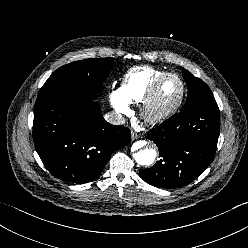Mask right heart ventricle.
Segmentation results:
<instances>
[{
    "label": "right heart ventricle",
    "mask_w": 248,
    "mask_h": 248,
    "mask_svg": "<svg viewBox=\"0 0 248 248\" xmlns=\"http://www.w3.org/2000/svg\"><path fill=\"white\" fill-rule=\"evenodd\" d=\"M166 71L150 66L134 67L129 70L122 82V93L128 102L141 103L153 83Z\"/></svg>",
    "instance_id": "obj_1"
}]
</instances>
